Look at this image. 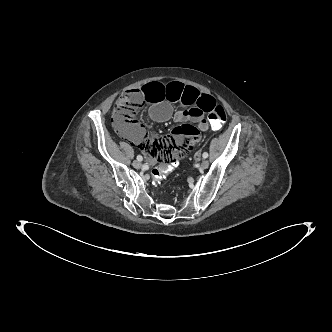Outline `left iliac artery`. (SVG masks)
Wrapping results in <instances>:
<instances>
[{"label": "left iliac artery", "mask_w": 332, "mask_h": 332, "mask_svg": "<svg viewBox=\"0 0 332 332\" xmlns=\"http://www.w3.org/2000/svg\"><path fill=\"white\" fill-rule=\"evenodd\" d=\"M202 156H203V158H207L208 157V153L204 152Z\"/></svg>", "instance_id": "obj_1"}]
</instances>
